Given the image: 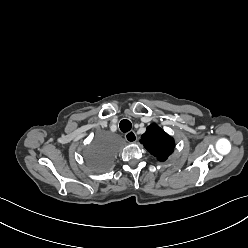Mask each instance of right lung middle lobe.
Masks as SVG:
<instances>
[{
	"label": "right lung middle lobe",
	"instance_id": "right-lung-middle-lobe-1",
	"mask_svg": "<svg viewBox=\"0 0 248 248\" xmlns=\"http://www.w3.org/2000/svg\"><path fill=\"white\" fill-rule=\"evenodd\" d=\"M83 153L90 168L94 171L104 170L112 157L111 149L101 140L86 147Z\"/></svg>",
	"mask_w": 248,
	"mask_h": 248
}]
</instances>
